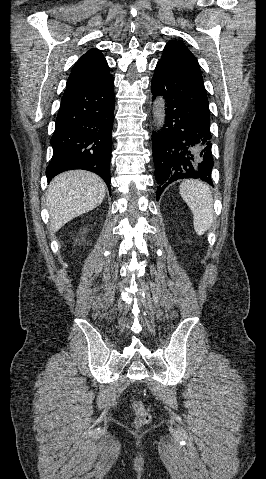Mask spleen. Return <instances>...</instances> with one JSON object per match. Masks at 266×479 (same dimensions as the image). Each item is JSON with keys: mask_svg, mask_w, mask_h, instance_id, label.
<instances>
[{"mask_svg": "<svg viewBox=\"0 0 266 479\" xmlns=\"http://www.w3.org/2000/svg\"><path fill=\"white\" fill-rule=\"evenodd\" d=\"M183 200L193 213L195 232L202 236L214 220L213 197L209 186L199 180H185L179 186Z\"/></svg>", "mask_w": 266, "mask_h": 479, "instance_id": "spleen-1", "label": "spleen"}]
</instances>
